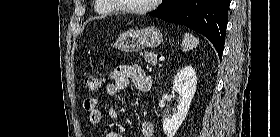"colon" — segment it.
<instances>
[{"instance_id":"colon-1","label":"colon","mask_w":280,"mask_h":137,"mask_svg":"<svg viewBox=\"0 0 280 137\" xmlns=\"http://www.w3.org/2000/svg\"><path fill=\"white\" fill-rule=\"evenodd\" d=\"M100 87V80L96 76H87L85 79V88L88 92L95 93Z\"/></svg>"}]
</instances>
